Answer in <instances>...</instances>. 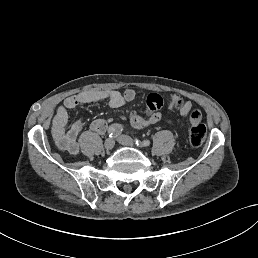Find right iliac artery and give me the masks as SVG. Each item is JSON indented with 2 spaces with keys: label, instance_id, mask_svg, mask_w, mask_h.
<instances>
[{
  "label": "right iliac artery",
  "instance_id": "1",
  "mask_svg": "<svg viewBox=\"0 0 258 258\" xmlns=\"http://www.w3.org/2000/svg\"><path fill=\"white\" fill-rule=\"evenodd\" d=\"M123 129V126L120 124H112L108 129V135L111 138L117 137L122 133Z\"/></svg>",
  "mask_w": 258,
  "mask_h": 258
}]
</instances>
